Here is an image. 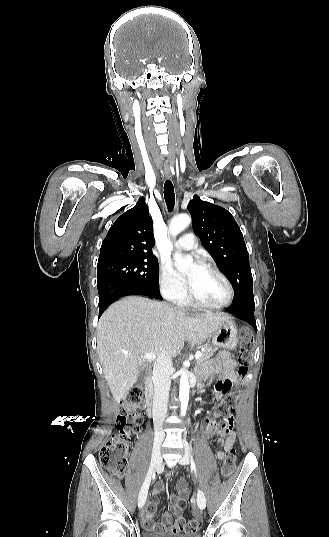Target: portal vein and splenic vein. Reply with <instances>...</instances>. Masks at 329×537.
<instances>
[{"instance_id": "portal-vein-and-splenic-vein-1", "label": "portal vein and splenic vein", "mask_w": 329, "mask_h": 537, "mask_svg": "<svg viewBox=\"0 0 329 537\" xmlns=\"http://www.w3.org/2000/svg\"><path fill=\"white\" fill-rule=\"evenodd\" d=\"M124 354H128L127 352H125ZM202 356V353L200 351H198L196 354H195V359L196 360H199ZM142 358L146 359V360H153L156 358V355L155 354H145L142 356Z\"/></svg>"}]
</instances>
